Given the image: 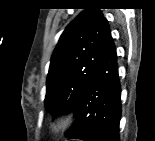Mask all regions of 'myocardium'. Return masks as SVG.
<instances>
[{
	"label": "myocardium",
	"instance_id": "obj_1",
	"mask_svg": "<svg viewBox=\"0 0 155 141\" xmlns=\"http://www.w3.org/2000/svg\"><path fill=\"white\" fill-rule=\"evenodd\" d=\"M63 127V121L59 120L52 125L54 131H58Z\"/></svg>",
	"mask_w": 155,
	"mask_h": 141
}]
</instances>
